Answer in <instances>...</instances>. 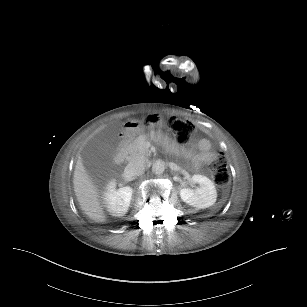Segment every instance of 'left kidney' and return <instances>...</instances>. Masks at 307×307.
Wrapping results in <instances>:
<instances>
[{
	"mask_svg": "<svg viewBox=\"0 0 307 307\" xmlns=\"http://www.w3.org/2000/svg\"><path fill=\"white\" fill-rule=\"evenodd\" d=\"M192 184H198L195 189L178 187L182 201L197 209H205L213 206L217 200V191L214 183L202 175H193Z\"/></svg>",
	"mask_w": 307,
	"mask_h": 307,
	"instance_id": "1",
	"label": "left kidney"
}]
</instances>
